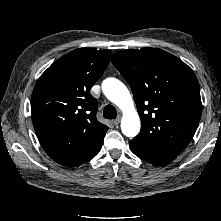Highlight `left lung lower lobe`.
Segmentation results:
<instances>
[{"label": "left lung lower lobe", "instance_id": "left-lung-lower-lobe-1", "mask_svg": "<svg viewBox=\"0 0 221 221\" xmlns=\"http://www.w3.org/2000/svg\"><path fill=\"white\" fill-rule=\"evenodd\" d=\"M129 146H130L132 152L136 156H138L139 158H141L151 164H156V165L166 164V163L173 161L177 157V155H175V154L145 150V149L136 147V146L132 145L131 143L129 144Z\"/></svg>", "mask_w": 221, "mask_h": 221}]
</instances>
